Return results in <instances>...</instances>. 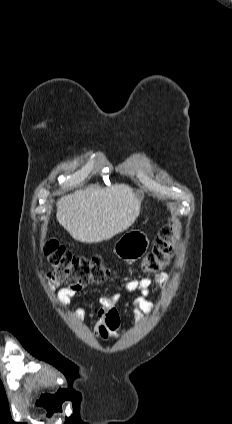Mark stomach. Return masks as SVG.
Instances as JSON below:
<instances>
[{
	"label": "stomach",
	"mask_w": 232,
	"mask_h": 424,
	"mask_svg": "<svg viewBox=\"0 0 232 424\" xmlns=\"http://www.w3.org/2000/svg\"><path fill=\"white\" fill-rule=\"evenodd\" d=\"M149 247L146 234L132 230L124 234L115 244L114 253L126 261H136L143 257Z\"/></svg>",
	"instance_id": "0dacf381"
}]
</instances>
